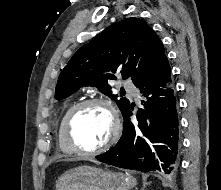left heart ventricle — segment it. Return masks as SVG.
Here are the masks:
<instances>
[{
  "instance_id": "b2bd125f",
  "label": "left heart ventricle",
  "mask_w": 221,
  "mask_h": 190,
  "mask_svg": "<svg viewBox=\"0 0 221 190\" xmlns=\"http://www.w3.org/2000/svg\"><path fill=\"white\" fill-rule=\"evenodd\" d=\"M112 126V116L105 106L90 105L77 116L73 126V136L80 146L93 149L109 139Z\"/></svg>"
}]
</instances>
